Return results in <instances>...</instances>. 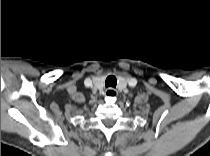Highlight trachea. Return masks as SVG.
I'll use <instances>...</instances> for the list:
<instances>
[{"mask_svg": "<svg viewBox=\"0 0 210 156\" xmlns=\"http://www.w3.org/2000/svg\"><path fill=\"white\" fill-rule=\"evenodd\" d=\"M116 85H117V79L115 76L110 75L106 78V81H105L106 87L116 88Z\"/></svg>", "mask_w": 210, "mask_h": 156, "instance_id": "trachea-1", "label": "trachea"}]
</instances>
